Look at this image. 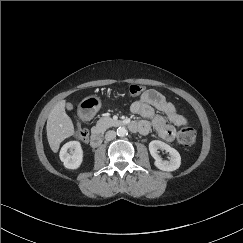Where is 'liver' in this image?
<instances>
[{
    "mask_svg": "<svg viewBox=\"0 0 243 243\" xmlns=\"http://www.w3.org/2000/svg\"><path fill=\"white\" fill-rule=\"evenodd\" d=\"M66 101H59L50 111L47 119V139L51 150L56 153L60 143L74 134V125L65 112Z\"/></svg>",
    "mask_w": 243,
    "mask_h": 243,
    "instance_id": "1",
    "label": "liver"
}]
</instances>
